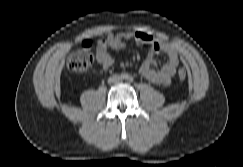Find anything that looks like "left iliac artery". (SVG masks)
Returning <instances> with one entry per match:
<instances>
[{"mask_svg":"<svg viewBox=\"0 0 243 167\" xmlns=\"http://www.w3.org/2000/svg\"><path fill=\"white\" fill-rule=\"evenodd\" d=\"M128 80H129V81H132V80H133V78H132V77H129V78H128Z\"/></svg>","mask_w":243,"mask_h":167,"instance_id":"44dca946","label":"left iliac artery"}]
</instances>
